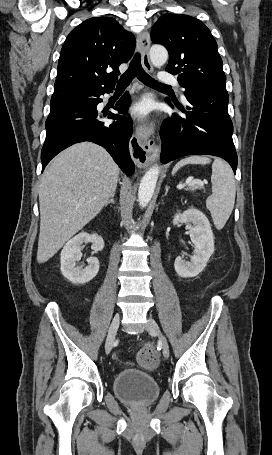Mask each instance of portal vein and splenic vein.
<instances>
[{"label": "portal vein and splenic vein", "instance_id": "portal-vein-and-splenic-vein-1", "mask_svg": "<svg viewBox=\"0 0 272 455\" xmlns=\"http://www.w3.org/2000/svg\"><path fill=\"white\" fill-rule=\"evenodd\" d=\"M204 185V182L199 180V179H194V180H191L189 183H188V186L189 187H194V186H200L202 187Z\"/></svg>", "mask_w": 272, "mask_h": 455}]
</instances>
